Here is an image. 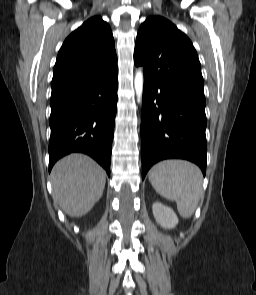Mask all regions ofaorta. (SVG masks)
Listing matches in <instances>:
<instances>
[{
	"instance_id": "762f6f07",
	"label": "aorta",
	"mask_w": 256,
	"mask_h": 295,
	"mask_svg": "<svg viewBox=\"0 0 256 295\" xmlns=\"http://www.w3.org/2000/svg\"><path fill=\"white\" fill-rule=\"evenodd\" d=\"M134 87L137 95V101H142V92H143V72L138 70L135 74Z\"/></svg>"
}]
</instances>
